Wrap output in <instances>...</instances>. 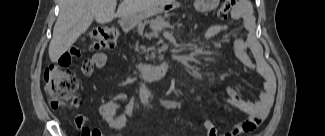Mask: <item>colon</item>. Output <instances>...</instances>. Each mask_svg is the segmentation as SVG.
Wrapping results in <instances>:
<instances>
[{"instance_id": "1", "label": "colon", "mask_w": 325, "mask_h": 136, "mask_svg": "<svg viewBox=\"0 0 325 136\" xmlns=\"http://www.w3.org/2000/svg\"><path fill=\"white\" fill-rule=\"evenodd\" d=\"M233 0H224L217 15L224 20L229 16ZM118 30L112 26H100L91 30L86 37L88 46L92 50L113 48L118 39ZM44 79L46 92L54 108L62 107L67 102H74L73 95L78 87L77 79L70 77L57 65H50L45 69ZM82 136H101L97 129L84 128Z\"/></svg>"}]
</instances>
